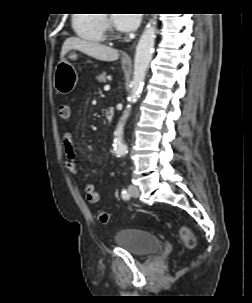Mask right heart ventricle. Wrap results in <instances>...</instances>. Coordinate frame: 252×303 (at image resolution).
I'll return each instance as SVG.
<instances>
[{"label": "right heart ventricle", "mask_w": 252, "mask_h": 303, "mask_svg": "<svg viewBox=\"0 0 252 303\" xmlns=\"http://www.w3.org/2000/svg\"><path fill=\"white\" fill-rule=\"evenodd\" d=\"M76 32L83 37L102 40L105 37V17L103 14H78L73 18Z\"/></svg>", "instance_id": "right-heart-ventricle-1"}]
</instances>
